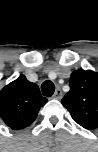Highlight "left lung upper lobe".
Instances as JSON below:
<instances>
[{
  "mask_svg": "<svg viewBox=\"0 0 98 152\" xmlns=\"http://www.w3.org/2000/svg\"><path fill=\"white\" fill-rule=\"evenodd\" d=\"M70 90L62 99L63 106L80 126L98 128V73L78 69L70 76Z\"/></svg>",
  "mask_w": 98,
  "mask_h": 152,
  "instance_id": "left-lung-upper-lobe-1",
  "label": "left lung upper lobe"
}]
</instances>
